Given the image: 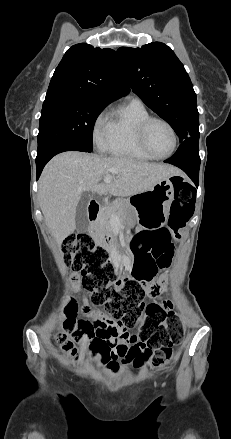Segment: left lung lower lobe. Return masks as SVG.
I'll return each instance as SVG.
<instances>
[{"mask_svg":"<svg viewBox=\"0 0 231 439\" xmlns=\"http://www.w3.org/2000/svg\"><path fill=\"white\" fill-rule=\"evenodd\" d=\"M199 136H192L181 142L176 153L164 162L182 169L198 185L200 157L198 152Z\"/></svg>","mask_w":231,"mask_h":439,"instance_id":"0a47b994","label":"left lung lower lobe"}]
</instances>
